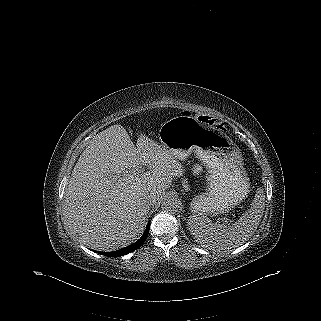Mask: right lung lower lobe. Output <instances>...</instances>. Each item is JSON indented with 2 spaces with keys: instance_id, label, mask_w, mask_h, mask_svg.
Wrapping results in <instances>:
<instances>
[{
  "instance_id": "98d812e1",
  "label": "right lung lower lobe",
  "mask_w": 321,
  "mask_h": 321,
  "mask_svg": "<svg viewBox=\"0 0 321 321\" xmlns=\"http://www.w3.org/2000/svg\"><path fill=\"white\" fill-rule=\"evenodd\" d=\"M149 229H150V222L147 224V227H146V230H145L143 236L137 242L133 243L132 245H130L128 247H125V248L117 250V251L98 252V253L101 255L109 256V257H120V256L126 255L130 252H133L136 249L140 248L144 244V242L147 239ZM94 252H97V251H94Z\"/></svg>"
}]
</instances>
